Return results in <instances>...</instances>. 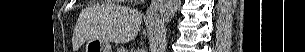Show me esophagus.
<instances>
[{
  "label": "esophagus",
  "mask_w": 305,
  "mask_h": 52,
  "mask_svg": "<svg viewBox=\"0 0 305 52\" xmlns=\"http://www.w3.org/2000/svg\"><path fill=\"white\" fill-rule=\"evenodd\" d=\"M161 4V0H152L149 8L147 9L145 18L146 20L153 21L158 16V10Z\"/></svg>",
  "instance_id": "1"
}]
</instances>
